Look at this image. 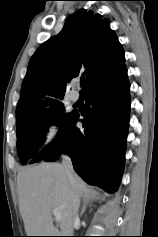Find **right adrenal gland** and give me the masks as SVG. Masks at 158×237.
<instances>
[{"instance_id":"2a0ac1e0","label":"right adrenal gland","mask_w":158,"mask_h":237,"mask_svg":"<svg viewBox=\"0 0 158 237\" xmlns=\"http://www.w3.org/2000/svg\"><path fill=\"white\" fill-rule=\"evenodd\" d=\"M99 199H101V197H100L99 195H95V196H92V197H90V198H88V199H85V200H84V203H83V206H82V208H81L80 216H83V214H84V212H85V210H86V207H87L89 204H91L93 201L99 200Z\"/></svg>"}]
</instances>
